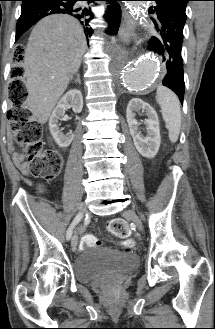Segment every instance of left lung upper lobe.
Here are the masks:
<instances>
[{
    "mask_svg": "<svg viewBox=\"0 0 215 329\" xmlns=\"http://www.w3.org/2000/svg\"><path fill=\"white\" fill-rule=\"evenodd\" d=\"M157 5L164 6L177 14L183 20H186V5L190 0H154Z\"/></svg>",
    "mask_w": 215,
    "mask_h": 329,
    "instance_id": "left-lung-upper-lobe-1",
    "label": "left lung upper lobe"
}]
</instances>
